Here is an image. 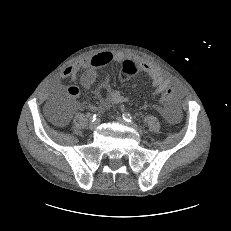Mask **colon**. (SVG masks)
Segmentation results:
<instances>
[{
	"instance_id": "5ec220e1",
	"label": "colon",
	"mask_w": 231,
	"mask_h": 231,
	"mask_svg": "<svg viewBox=\"0 0 231 231\" xmlns=\"http://www.w3.org/2000/svg\"><path fill=\"white\" fill-rule=\"evenodd\" d=\"M121 72L127 75H134L139 72V67L131 60L125 59L121 62ZM174 97V89L172 86L167 85L163 89V93L160 95L162 102H169Z\"/></svg>"
}]
</instances>
